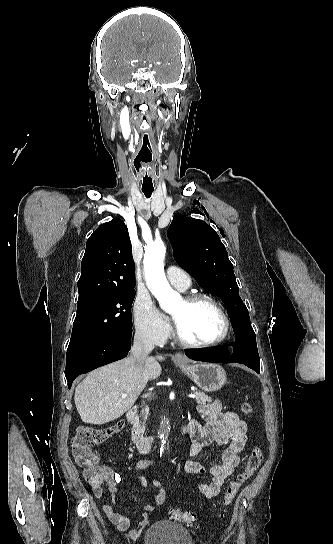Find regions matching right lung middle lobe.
I'll list each match as a JSON object with an SVG mask.
<instances>
[{
  "label": "right lung middle lobe",
  "instance_id": "right-lung-middle-lobe-1",
  "mask_svg": "<svg viewBox=\"0 0 333 544\" xmlns=\"http://www.w3.org/2000/svg\"><path fill=\"white\" fill-rule=\"evenodd\" d=\"M134 298L135 290H117L78 301L67 355L103 337L130 328Z\"/></svg>",
  "mask_w": 333,
  "mask_h": 544
}]
</instances>
